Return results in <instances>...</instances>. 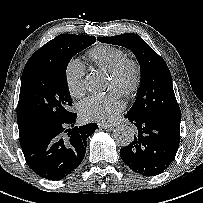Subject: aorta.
I'll return each instance as SVG.
<instances>
[{
	"label": "aorta",
	"instance_id": "aorta-1",
	"mask_svg": "<svg viewBox=\"0 0 203 203\" xmlns=\"http://www.w3.org/2000/svg\"><path fill=\"white\" fill-rule=\"evenodd\" d=\"M85 85L88 90H94L97 88L98 82L93 75H89L85 80ZM114 139L119 146H128L134 139V131L127 125H120L114 132Z\"/></svg>",
	"mask_w": 203,
	"mask_h": 203
}]
</instances>
